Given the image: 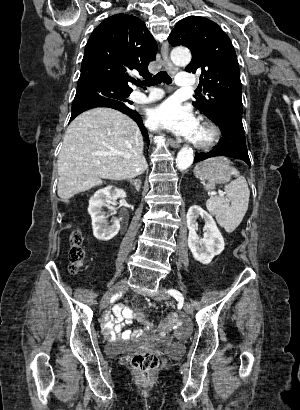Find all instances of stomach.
<instances>
[{"label": "stomach", "mask_w": 300, "mask_h": 410, "mask_svg": "<svg viewBox=\"0 0 300 410\" xmlns=\"http://www.w3.org/2000/svg\"><path fill=\"white\" fill-rule=\"evenodd\" d=\"M230 162L223 157H215L196 165L194 174L201 180L225 183L231 178Z\"/></svg>", "instance_id": "0dacf381"}]
</instances>
